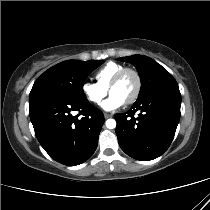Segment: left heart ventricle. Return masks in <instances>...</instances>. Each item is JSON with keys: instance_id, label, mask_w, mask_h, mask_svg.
Wrapping results in <instances>:
<instances>
[{"instance_id": "1", "label": "left heart ventricle", "mask_w": 210, "mask_h": 210, "mask_svg": "<svg viewBox=\"0 0 210 210\" xmlns=\"http://www.w3.org/2000/svg\"><path fill=\"white\" fill-rule=\"evenodd\" d=\"M137 86L136 78L133 74H126L121 82L111 89L110 94L119 96L126 102L135 92Z\"/></svg>"}]
</instances>
